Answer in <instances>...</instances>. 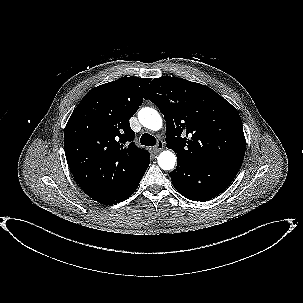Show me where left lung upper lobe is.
I'll return each instance as SVG.
<instances>
[{"instance_id":"5c2ea615","label":"left lung upper lobe","mask_w":303,"mask_h":303,"mask_svg":"<svg viewBox=\"0 0 303 303\" xmlns=\"http://www.w3.org/2000/svg\"><path fill=\"white\" fill-rule=\"evenodd\" d=\"M146 99L164 114L166 146L194 163L241 166L246 142L238 111L211 88L164 76L153 79Z\"/></svg>"}]
</instances>
